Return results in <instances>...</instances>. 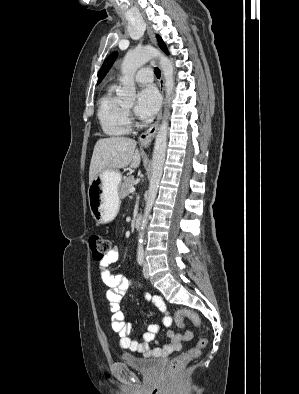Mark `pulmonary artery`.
<instances>
[{
  "label": "pulmonary artery",
  "instance_id": "obj_1",
  "mask_svg": "<svg viewBox=\"0 0 299 394\" xmlns=\"http://www.w3.org/2000/svg\"><path fill=\"white\" fill-rule=\"evenodd\" d=\"M135 80L138 83H151L153 81V71L147 67L142 68L136 73Z\"/></svg>",
  "mask_w": 299,
  "mask_h": 394
}]
</instances>
